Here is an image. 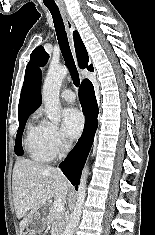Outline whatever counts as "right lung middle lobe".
Listing matches in <instances>:
<instances>
[{
	"label": "right lung middle lobe",
	"instance_id": "right-lung-middle-lobe-1",
	"mask_svg": "<svg viewBox=\"0 0 155 235\" xmlns=\"http://www.w3.org/2000/svg\"><path fill=\"white\" fill-rule=\"evenodd\" d=\"M28 117L29 116L19 119V128H18L17 137L15 141V147H14V151L16 155L18 156H22L24 154V151L22 148V134H23L24 127H25Z\"/></svg>",
	"mask_w": 155,
	"mask_h": 235
}]
</instances>
